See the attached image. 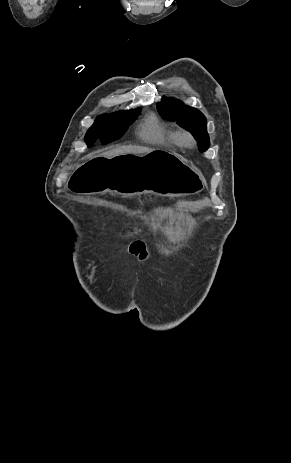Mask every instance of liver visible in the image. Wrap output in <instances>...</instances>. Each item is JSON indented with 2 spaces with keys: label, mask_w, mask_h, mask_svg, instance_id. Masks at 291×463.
<instances>
[{
  "label": "liver",
  "mask_w": 291,
  "mask_h": 463,
  "mask_svg": "<svg viewBox=\"0 0 291 463\" xmlns=\"http://www.w3.org/2000/svg\"><path fill=\"white\" fill-rule=\"evenodd\" d=\"M153 151V149L149 147H143V146H121L116 149L104 152L101 154L103 158L111 159L116 156L120 155H125V154H146Z\"/></svg>",
  "instance_id": "1"
}]
</instances>
